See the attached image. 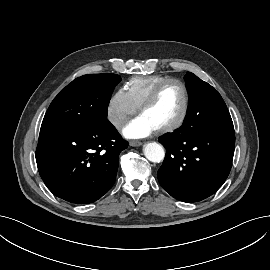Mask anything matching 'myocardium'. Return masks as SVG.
I'll return each instance as SVG.
<instances>
[{
	"label": "myocardium",
	"instance_id": "1",
	"mask_svg": "<svg viewBox=\"0 0 270 270\" xmlns=\"http://www.w3.org/2000/svg\"><path fill=\"white\" fill-rule=\"evenodd\" d=\"M176 83L179 84L183 90L184 94V103L182 112L177 120L168 124L166 126L158 128L156 131L160 134L168 133L179 129L186 121L190 109V94L187 85L180 79L177 78H169L154 87V89L150 92L147 98L139 107V112L142 114L147 108H149L158 98L161 91L169 84Z\"/></svg>",
	"mask_w": 270,
	"mask_h": 270
}]
</instances>
